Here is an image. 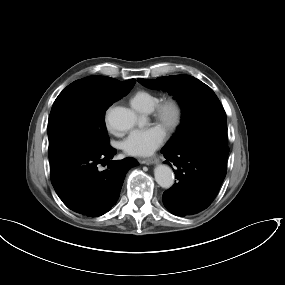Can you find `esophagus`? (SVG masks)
<instances>
[{
  "instance_id": "34e87169",
  "label": "esophagus",
  "mask_w": 285,
  "mask_h": 285,
  "mask_svg": "<svg viewBox=\"0 0 285 285\" xmlns=\"http://www.w3.org/2000/svg\"><path fill=\"white\" fill-rule=\"evenodd\" d=\"M139 162L142 164L151 165L159 163V159L158 158L139 159Z\"/></svg>"
}]
</instances>
